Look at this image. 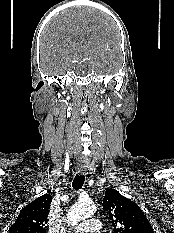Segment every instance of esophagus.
I'll use <instances>...</instances> for the list:
<instances>
[{
	"instance_id": "obj_1",
	"label": "esophagus",
	"mask_w": 174,
	"mask_h": 233,
	"mask_svg": "<svg viewBox=\"0 0 174 233\" xmlns=\"http://www.w3.org/2000/svg\"><path fill=\"white\" fill-rule=\"evenodd\" d=\"M78 173L80 175H85V174H87V169L86 168H78Z\"/></svg>"
}]
</instances>
